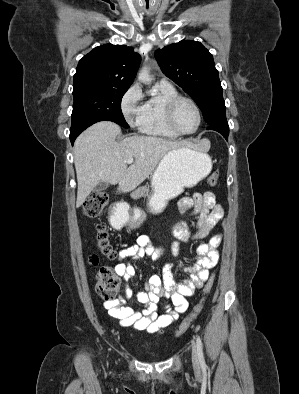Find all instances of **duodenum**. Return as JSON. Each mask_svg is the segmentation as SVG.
Returning a JSON list of instances; mask_svg holds the SVG:
<instances>
[{"label": "duodenum", "instance_id": "1", "mask_svg": "<svg viewBox=\"0 0 299 394\" xmlns=\"http://www.w3.org/2000/svg\"><path fill=\"white\" fill-rule=\"evenodd\" d=\"M118 190H119L120 192H122L123 188H122L121 186H118Z\"/></svg>", "mask_w": 299, "mask_h": 394}]
</instances>
